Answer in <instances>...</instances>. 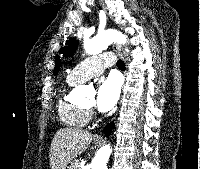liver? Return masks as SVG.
<instances>
[{
	"instance_id": "6515ba94",
	"label": "liver",
	"mask_w": 200,
	"mask_h": 169,
	"mask_svg": "<svg viewBox=\"0 0 200 169\" xmlns=\"http://www.w3.org/2000/svg\"><path fill=\"white\" fill-rule=\"evenodd\" d=\"M92 134L86 130L62 128L51 142L49 161L51 169H66L72 159L80 155L92 141Z\"/></svg>"
}]
</instances>
